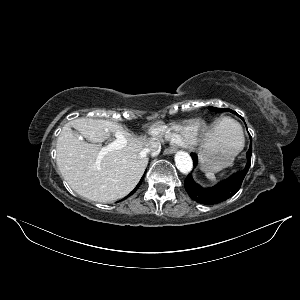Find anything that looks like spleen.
Instances as JSON below:
<instances>
[{
	"label": "spleen",
	"mask_w": 300,
	"mask_h": 300,
	"mask_svg": "<svg viewBox=\"0 0 300 300\" xmlns=\"http://www.w3.org/2000/svg\"><path fill=\"white\" fill-rule=\"evenodd\" d=\"M223 127L227 128L230 130V132L236 136L237 138L243 140L244 142V138H243V132H242V128L241 126L235 122L233 119L230 118H224L221 123H220ZM222 176L224 175V173L221 174ZM206 177L210 180H215V175L213 172L211 171H207L206 172Z\"/></svg>",
	"instance_id": "1"
}]
</instances>
